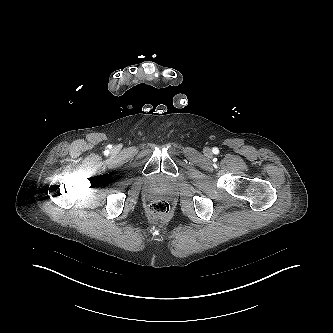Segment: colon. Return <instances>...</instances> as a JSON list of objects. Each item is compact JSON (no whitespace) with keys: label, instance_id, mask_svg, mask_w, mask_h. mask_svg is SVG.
Returning a JSON list of instances; mask_svg holds the SVG:
<instances>
[{"label":"colon","instance_id":"1","mask_svg":"<svg viewBox=\"0 0 333 333\" xmlns=\"http://www.w3.org/2000/svg\"><path fill=\"white\" fill-rule=\"evenodd\" d=\"M149 210L152 215L158 218H165L170 214V205L166 200L158 199L149 205Z\"/></svg>","mask_w":333,"mask_h":333}]
</instances>
